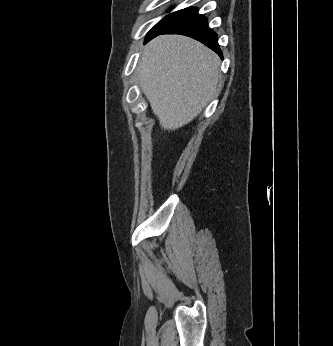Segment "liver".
Returning <instances> with one entry per match:
<instances>
[{
  "instance_id": "obj_1",
  "label": "liver",
  "mask_w": 333,
  "mask_h": 346,
  "mask_svg": "<svg viewBox=\"0 0 333 346\" xmlns=\"http://www.w3.org/2000/svg\"><path fill=\"white\" fill-rule=\"evenodd\" d=\"M219 66L213 51L189 37L161 35L145 46L138 82L164 130L200 114L216 92Z\"/></svg>"
}]
</instances>
